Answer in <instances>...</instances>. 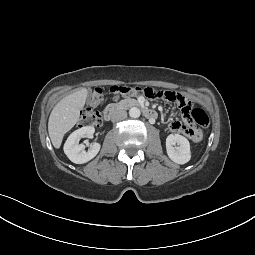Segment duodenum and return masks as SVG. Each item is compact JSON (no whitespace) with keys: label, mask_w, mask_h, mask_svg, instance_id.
I'll return each instance as SVG.
<instances>
[{"label":"duodenum","mask_w":255,"mask_h":255,"mask_svg":"<svg viewBox=\"0 0 255 255\" xmlns=\"http://www.w3.org/2000/svg\"><path fill=\"white\" fill-rule=\"evenodd\" d=\"M126 105L142 108L145 117L148 118L149 120H154L157 117V114L155 111H153L147 107H144L138 101L132 100V101L127 102ZM121 108H122V105H117V104H111V105L107 106L103 112L104 119L106 121L111 120L113 117H115V115Z\"/></svg>","instance_id":"1"}]
</instances>
